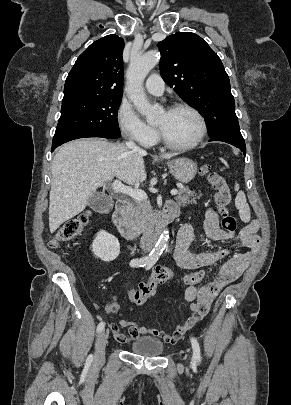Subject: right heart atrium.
Wrapping results in <instances>:
<instances>
[{"label": "right heart atrium", "instance_id": "1", "mask_svg": "<svg viewBox=\"0 0 291 405\" xmlns=\"http://www.w3.org/2000/svg\"><path fill=\"white\" fill-rule=\"evenodd\" d=\"M117 120L122 134L142 145L150 146L156 139V130L143 122L127 105H121L117 112Z\"/></svg>", "mask_w": 291, "mask_h": 405}]
</instances>
